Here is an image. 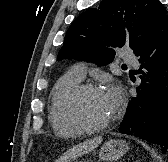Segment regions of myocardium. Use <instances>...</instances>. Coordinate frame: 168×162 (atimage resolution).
<instances>
[{
  "label": "myocardium",
  "mask_w": 168,
  "mask_h": 162,
  "mask_svg": "<svg viewBox=\"0 0 168 162\" xmlns=\"http://www.w3.org/2000/svg\"><path fill=\"white\" fill-rule=\"evenodd\" d=\"M103 92L102 89L92 83H79L72 89H70L64 96L61 103V113L64 118L73 126L80 129L82 132H99L108 129L113 121L112 115L107 121L101 124L91 125L86 123L78 114L76 110L77 99L86 92Z\"/></svg>",
  "instance_id": "myocardium-1"
}]
</instances>
